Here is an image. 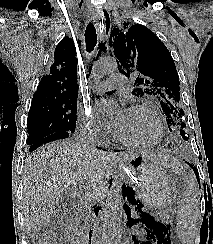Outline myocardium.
<instances>
[{"instance_id":"obj_1","label":"myocardium","mask_w":213,"mask_h":244,"mask_svg":"<svg viewBox=\"0 0 213 244\" xmlns=\"http://www.w3.org/2000/svg\"><path fill=\"white\" fill-rule=\"evenodd\" d=\"M129 110H144V111L149 112L153 116V118L155 119V121L159 127V136L157 139L150 141V142H135V141H129V140L124 139L115 130L114 131L115 139L125 146L135 147V148H152V147L160 144L165 135V128H164V124H163L158 112L156 111V109L149 104L142 103V104L132 105L129 108Z\"/></svg>"}]
</instances>
